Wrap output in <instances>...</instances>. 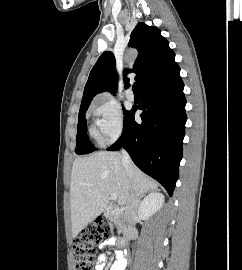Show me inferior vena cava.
Returning a JSON list of instances; mask_svg holds the SVG:
<instances>
[{
	"label": "inferior vena cava",
	"mask_w": 242,
	"mask_h": 270,
	"mask_svg": "<svg viewBox=\"0 0 242 270\" xmlns=\"http://www.w3.org/2000/svg\"><path fill=\"white\" fill-rule=\"evenodd\" d=\"M122 164L126 170L127 175L131 176L133 163L131 161L129 154L125 150H122ZM138 206H139L138 196L131 193L126 205V220L129 223L132 224L136 223Z\"/></svg>",
	"instance_id": "inferior-vena-cava-1"
}]
</instances>
